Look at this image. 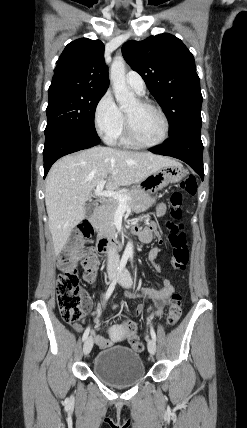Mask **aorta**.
I'll return each instance as SVG.
<instances>
[{
    "label": "aorta",
    "instance_id": "1",
    "mask_svg": "<svg viewBox=\"0 0 247 428\" xmlns=\"http://www.w3.org/2000/svg\"><path fill=\"white\" fill-rule=\"evenodd\" d=\"M110 80L113 86L116 101L121 108H126L136 101L134 94L129 90L125 77V61L122 56L114 58L110 69ZM124 256H133V243L126 245Z\"/></svg>",
    "mask_w": 247,
    "mask_h": 428
}]
</instances>
